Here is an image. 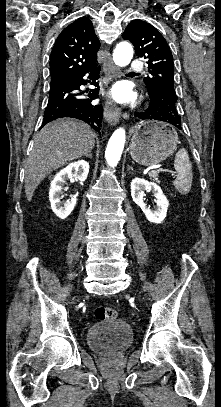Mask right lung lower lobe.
Listing matches in <instances>:
<instances>
[{
    "label": "right lung lower lobe",
    "instance_id": "1",
    "mask_svg": "<svg viewBox=\"0 0 221 407\" xmlns=\"http://www.w3.org/2000/svg\"><path fill=\"white\" fill-rule=\"evenodd\" d=\"M100 66L94 65L91 69L84 71L61 83L50 86L48 104L45 110L42 127L52 120L71 117L88 123L97 132L101 129L103 116L102 105L92 103V99L98 98ZM88 74L90 80L83 77ZM93 84L95 89L81 91L80 86L87 82ZM89 98H85L86 94Z\"/></svg>",
    "mask_w": 221,
    "mask_h": 407
}]
</instances>
